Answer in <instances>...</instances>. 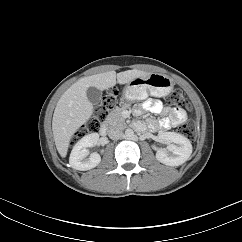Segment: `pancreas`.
<instances>
[{"label":"pancreas","mask_w":242,"mask_h":242,"mask_svg":"<svg viewBox=\"0 0 242 242\" xmlns=\"http://www.w3.org/2000/svg\"><path fill=\"white\" fill-rule=\"evenodd\" d=\"M127 107L128 106L122 108L117 107L112 110L106 118L107 123L111 126H118L119 128L124 129L126 127V122L122 116V111Z\"/></svg>","instance_id":"obj_1"}]
</instances>
